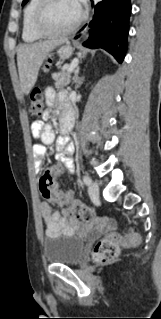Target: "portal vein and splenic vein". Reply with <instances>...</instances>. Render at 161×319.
I'll return each mask as SVG.
<instances>
[{
    "label": "portal vein and splenic vein",
    "instance_id": "1",
    "mask_svg": "<svg viewBox=\"0 0 161 319\" xmlns=\"http://www.w3.org/2000/svg\"><path fill=\"white\" fill-rule=\"evenodd\" d=\"M78 65V59H74L71 63V65L69 66L68 71H73Z\"/></svg>",
    "mask_w": 161,
    "mask_h": 319
}]
</instances>
